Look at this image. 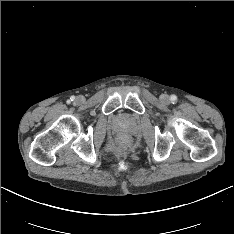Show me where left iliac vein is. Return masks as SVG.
I'll use <instances>...</instances> for the list:
<instances>
[{"label":"left iliac vein","instance_id":"obj_1","mask_svg":"<svg viewBox=\"0 0 234 234\" xmlns=\"http://www.w3.org/2000/svg\"><path fill=\"white\" fill-rule=\"evenodd\" d=\"M160 100H161V102H163V103H165V104H168L169 101H170L169 96L166 95V94H162V95L160 96Z\"/></svg>","mask_w":234,"mask_h":234}]
</instances>
